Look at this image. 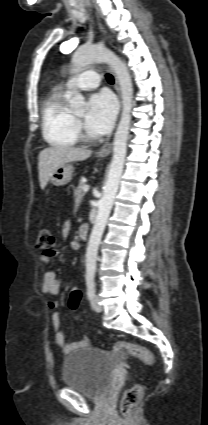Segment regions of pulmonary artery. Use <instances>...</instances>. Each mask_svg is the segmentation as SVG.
Masks as SVG:
<instances>
[{
    "instance_id": "1",
    "label": "pulmonary artery",
    "mask_w": 208,
    "mask_h": 425,
    "mask_svg": "<svg viewBox=\"0 0 208 425\" xmlns=\"http://www.w3.org/2000/svg\"><path fill=\"white\" fill-rule=\"evenodd\" d=\"M100 84V78L97 72L93 70L84 71L76 78H72L67 83V89L72 90L74 88L80 90H89L96 88Z\"/></svg>"
}]
</instances>
